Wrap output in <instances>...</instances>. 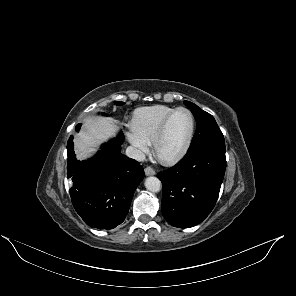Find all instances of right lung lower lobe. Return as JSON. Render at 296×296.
I'll return each mask as SVG.
<instances>
[{"label":"right lung lower lobe","mask_w":296,"mask_h":296,"mask_svg":"<svg viewBox=\"0 0 296 296\" xmlns=\"http://www.w3.org/2000/svg\"><path fill=\"white\" fill-rule=\"evenodd\" d=\"M80 127L78 124L76 130ZM72 140L70 136L67 143V176L73 181L72 204L89 226L113 229L128 214L144 170L137 161L121 154L122 133L104 144L95 157L84 161H77Z\"/></svg>","instance_id":"98d812e1"}]
</instances>
